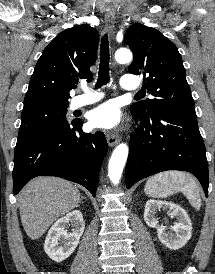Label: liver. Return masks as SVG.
<instances>
[{
	"instance_id": "obj_1",
	"label": "liver",
	"mask_w": 215,
	"mask_h": 274,
	"mask_svg": "<svg viewBox=\"0 0 215 274\" xmlns=\"http://www.w3.org/2000/svg\"><path fill=\"white\" fill-rule=\"evenodd\" d=\"M80 192L69 181L56 177H38L19 194L22 226L33 240L40 238L59 217L76 208Z\"/></svg>"
}]
</instances>
